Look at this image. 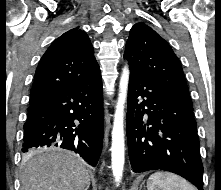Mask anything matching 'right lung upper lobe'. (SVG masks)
I'll use <instances>...</instances> for the list:
<instances>
[{
    "label": "right lung upper lobe",
    "mask_w": 221,
    "mask_h": 190,
    "mask_svg": "<svg viewBox=\"0 0 221 190\" xmlns=\"http://www.w3.org/2000/svg\"><path fill=\"white\" fill-rule=\"evenodd\" d=\"M99 74L87 34L78 27L73 28L56 39L42 56L31 88L30 104Z\"/></svg>",
    "instance_id": "cb5924a9"
}]
</instances>
